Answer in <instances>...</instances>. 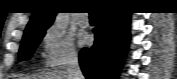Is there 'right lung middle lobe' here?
I'll return each mask as SVG.
<instances>
[{
	"instance_id": "right-lung-middle-lobe-1",
	"label": "right lung middle lobe",
	"mask_w": 177,
	"mask_h": 79,
	"mask_svg": "<svg viewBox=\"0 0 177 79\" xmlns=\"http://www.w3.org/2000/svg\"><path fill=\"white\" fill-rule=\"evenodd\" d=\"M44 35L45 30H40L34 33L32 36L22 40V44L19 50V58L21 61L27 60L32 56L34 50L36 49Z\"/></svg>"
}]
</instances>
